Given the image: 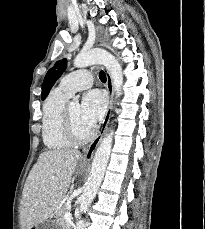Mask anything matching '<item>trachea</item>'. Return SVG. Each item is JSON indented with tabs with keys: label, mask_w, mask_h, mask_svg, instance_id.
<instances>
[{
	"label": "trachea",
	"mask_w": 205,
	"mask_h": 229,
	"mask_svg": "<svg viewBox=\"0 0 205 229\" xmlns=\"http://www.w3.org/2000/svg\"><path fill=\"white\" fill-rule=\"evenodd\" d=\"M99 78L102 82H106V75L103 71H100Z\"/></svg>",
	"instance_id": "1"
}]
</instances>
